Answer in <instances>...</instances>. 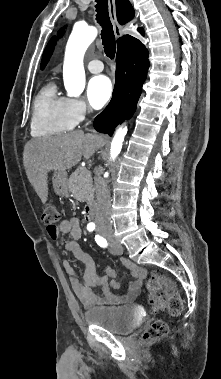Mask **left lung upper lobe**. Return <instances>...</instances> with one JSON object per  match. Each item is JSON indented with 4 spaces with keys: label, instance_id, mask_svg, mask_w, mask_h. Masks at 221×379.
I'll return each mask as SVG.
<instances>
[{
    "label": "left lung upper lobe",
    "instance_id": "left-lung-upper-lobe-1",
    "mask_svg": "<svg viewBox=\"0 0 221 379\" xmlns=\"http://www.w3.org/2000/svg\"><path fill=\"white\" fill-rule=\"evenodd\" d=\"M63 29H61L58 33L59 37L63 35ZM56 43V38L53 37L50 42L48 43V45L46 46L45 50H44V53H43V56H42V62H41V69L44 68V66L47 64L52 52H53V49H54V45Z\"/></svg>",
    "mask_w": 221,
    "mask_h": 379
}]
</instances>
